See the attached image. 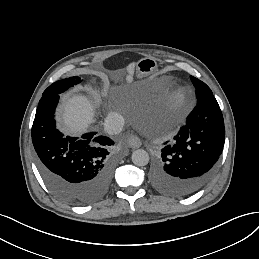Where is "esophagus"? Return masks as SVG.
<instances>
[{"label":"esophagus","mask_w":259,"mask_h":259,"mask_svg":"<svg viewBox=\"0 0 259 259\" xmlns=\"http://www.w3.org/2000/svg\"><path fill=\"white\" fill-rule=\"evenodd\" d=\"M127 143L130 148H139L142 145L140 138L137 135L131 134L128 139Z\"/></svg>","instance_id":"34e87169"}]
</instances>
